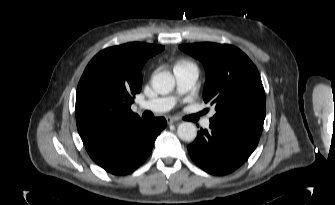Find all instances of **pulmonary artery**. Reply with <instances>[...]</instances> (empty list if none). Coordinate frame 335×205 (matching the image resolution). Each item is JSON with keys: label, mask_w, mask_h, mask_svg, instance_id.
<instances>
[{"label": "pulmonary artery", "mask_w": 335, "mask_h": 205, "mask_svg": "<svg viewBox=\"0 0 335 205\" xmlns=\"http://www.w3.org/2000/svg\"><path fill=\"white\" fill-rule=\"evenodd\" d=\"M176 79L177 91L184 94L189 91L198 79L199 71L196 65L189 62L178 63L173 69ZM174 97H160L140 103V109L149 110L155 113L170 110L175 105ZM212 114L203 119L202 125L208 127L210 125Z\"/></svg>", "instance_id": "obj_1"}]
</instances>
